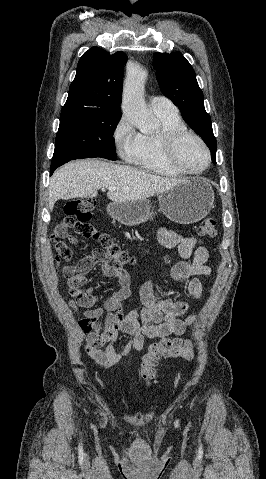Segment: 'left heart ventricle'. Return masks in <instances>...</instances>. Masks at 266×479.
Wrapping results in <instances>:
<instances>
[{
	"label": "left heart ventricle",
	"instance_id": "left-heart-ventricle-1",
	"mask_svg": "<svg viewBox=\"0 0 266 479\" xmlns=\"http://www.w3.org/2000/svg\"><path fill=\"white\" fill-rule=\"evenodd\" d=\"M178 160L189 170H199L206 165L207 157L200 143L188 137L178 147Z\"/></svg>",
	"mask_w": 266,
	"mask_h": 479
}]
</instances>
